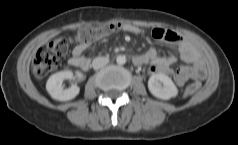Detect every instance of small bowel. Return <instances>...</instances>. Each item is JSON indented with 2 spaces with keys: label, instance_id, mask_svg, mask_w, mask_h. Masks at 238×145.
Wrapping results in <instances>:
<instances>
[{
  "label": "small bowel",
  "instance_id": "c3829d8e",
  "mask_svg": "<svg viewBox=\"0 0 238 145\" xmlns=\"http://www.w3.org/2000/svg\"><path fill=\"white\" fill-rule=\"evenodd\" d=\"M120 29L135 35H144L145 33L142 28L132 24H120ZM148 36L153 41L176 45L180 58L190 64V66H183L173 71L171 64L176 60L175 54L159 56L155 49H149L145 53L136 56L138 59L137 65H147V73L149 75L165 74L173 76L176 85L179 87H182L189 79L200 80L206 77L207 70L200 53L189 42L183 40V35L180 31L172 28L151 27L148 31ZM84 50L85 46L79 44L73 48L69 59L71 66L79 67L82 70L88 69L90 61L82 55Z\"/></svg>",
  "mask_w": 238,
  "mask_h": 145
}]
</instances>
